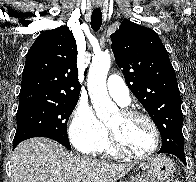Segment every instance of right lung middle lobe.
I'll list each match as a JSON object with an SVG mask.
<instances>
[{
  "label": "right lung middle lobe",
  "mask_w": 196,
  "mask_h": 182,
  "mask_svg": "<svg viewBox=\"0 0 196 182\" xmlns=\"http://www.w3.org/2000/svg\"><path fill=\"white\" fill-rule=\"evenodd\" d=\"M77 101H38L19 106L13 145L32 137H50L71 149L67 121Z\"/></svg>",
  "instance_id": "dd1d6c3e"
}]
</instances>
